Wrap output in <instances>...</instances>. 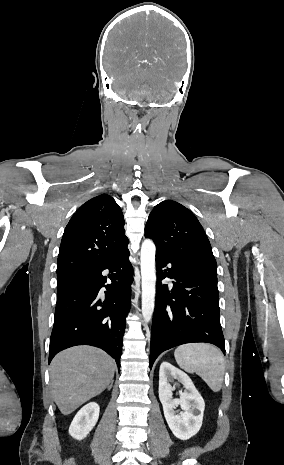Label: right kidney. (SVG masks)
Returning a JSON list of instances; mask_svg holds the SVG:
<instances>
[{"mask_svg": "<svg viewBox=\"0 0 284 465\" xmlns=\"http://www.w3.org/2000/svg\"><path fill=\"white\" fill-rule=\"evenodd\" d=\"M99 417V405L97 403H88L85 407H82L75 415L70 427L69 435L73 439H84L95 427Z\"/></svg>", "mask_w": 284, "mask_h": 465, "instance_id": "right-kidney-1", "label": "right kidney"}]
</instances>
